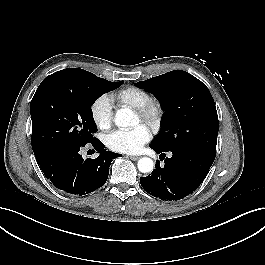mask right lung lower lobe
Listing matches in <instances>:
<instances>
[{"mask_svg":"<svg viewBox=\"0 0 265 265\" xmlns=\"http://www.w3.org/2000/svg\"><path fill=\"white\" fill-rule=\"evenodd\" d=\"M92 145L100 153L96 159L84 160L80 154L83 146L46 149L34 155L41 170L56 188L81 196L104 185L112 160L122 156L106 151L98 139Z\"/></svg>","mask_w":265,"mask_h":265,"instance_id":"right-lung-lower-lobe-1","label":"right lung lower lobe"}]
</instances>
